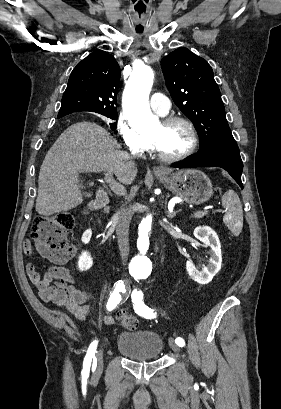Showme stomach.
Here are the masks:
<instances>
[{
  "label": "stomach",
  "mask_w": 281,
  "mask_h": 409,
  "mask_svg": "<svg viewBox=\"0 0 281 409\" xmlns=\"http://www.w3.org/2000/svg\"><path fill=\"white\" fill-rule=\"evenodd\" d=\"M161 182L172 190L173 194H177L190 205H201V202L209 200L213 194V184L202 170L195 168H183V170H175L167 176H159Z\"/></svg>",
  "instance_id": "0dacf381"
}]
</instances>
